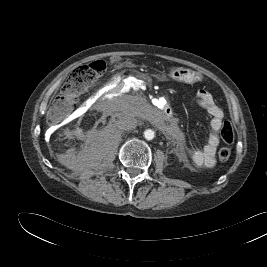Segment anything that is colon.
I'll return each instance as SVG.
<instances>
[{
    "mask_svg": "<svg viewBox=\"0 0 267 267\" xmlns=\"http://www.w3.org/2000/svg\"><path fill=\"white\" fill-rule=\"evenodd\" d=\"M104 61H95L75 68L67 77L60 95L55 99L48 112L50 123H59L73 110L78 96L92 85L106 70ZM221 137L225 143H232L235 138L234 129L229 122H224ZM231 156L228 147H222L218 152L220 161L226 162Z\"/></svg>",
    "mask_w": 267,
    "mask_h": 267,
    "instance_id": "5ec220e1",
    "label": "colon"
}]
</instances>
